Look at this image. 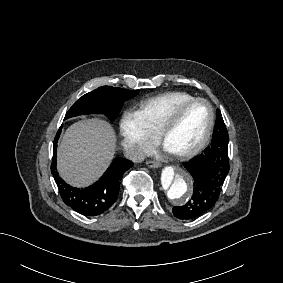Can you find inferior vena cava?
Instances as JSON below:
<instances>
[{
    "label": "inferior vena cava",
    "mask_w": 283,
    "mask_h": 283,
    "mask_svg": "<svg viewBox=\"0 0 283 283\" xmlns=\"http://www.w3.org/2000/svg\"><path fill=\"white\" fill-rule=\"evenodd\" d=\"M124 156L132 162L140 163L144 161L146 153L141 147L137 145H132L130 147L125 148Z\"/></svg>",
    "instance_id": "602c4592"
}]
</instances>
